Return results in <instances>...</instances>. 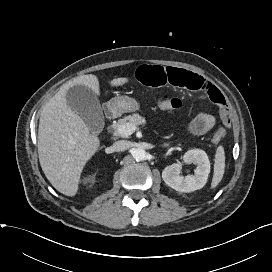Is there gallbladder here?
<instances>
[{
	"mask_svg": "<svg viewBox=\"0 0 272 272\" xmlns=\"http://www.w3.org/2000/svg\"><path fill=\"white\" fill-rule=\"evenodd\" d=\"M67 104L86 123L91 132L98 134L104 126L101 105L93 90L84 85H74L66 93Z\"/></svg>",
	"mask_w": 272,
	"mask_h": 272,
	"instance_id": "obj_1",
	"label": "gallbladder"
}]
</instances>
